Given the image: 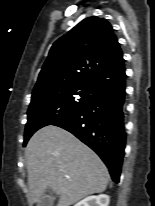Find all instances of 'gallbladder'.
<instances>
[{
  "instance_id": "gallbladder-1",
  "label": "gallbladder",
  "mask_w": 155,
  "mask_h": 206,
  "mask_svg": "<svg viewBox=\"0 0 155 206\" xmlns=\"http://www.w3.org/2000/svg\"><path fill=\"white\" fill-rule=\"evenodd\" d=\"M55 200L56 197L54 193L48 190L41 196L37 206H54Z\"/></svg>"
}]
</instances>
